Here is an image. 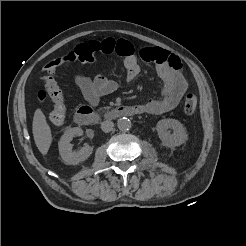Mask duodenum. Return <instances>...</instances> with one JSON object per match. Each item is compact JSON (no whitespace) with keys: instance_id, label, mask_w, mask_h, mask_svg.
Returning a JSON list of instances; mask_svg holds the SVG:
<instances>
[{"instance_id":"duodenum-1","label":"duodenum","mask_w":246,"mask_h":246,"mask_svg":"<svg viewBox=\"0 0 246 246\" xmlns=\"http://www.w3.org/2000/svg\"><path fill=\"white\" fill-rule=\"evenodd\" d=\"M142 113L139 105H123L112 108L104 115L99 114L89 106L80 107L74 115V120L78 125L89 126L97 124L102 117L105 119H116L124 116H134Z\"/></svg>"}]
</instances>
